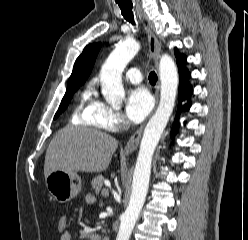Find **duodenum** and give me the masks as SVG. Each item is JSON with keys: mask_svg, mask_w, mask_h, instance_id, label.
I'll return each instance as SVG.
<instances>
[{"mask_svg": "<svg viewBox=\"0 0 248 240\" xmlns=\"http://www.w3.org/2000/svg\"><path fill=\"white\" fill-rule=\"evenodd\" d=\"M98 240H110L107 236L99 237Z\"/></svg>", "mask_w": 248, "mask_h": 240, "instance_id": "obj_1", "label": "duodenum"}]
</instances>
